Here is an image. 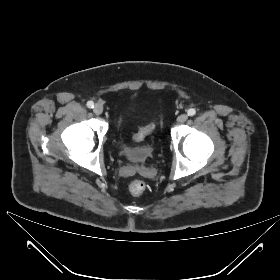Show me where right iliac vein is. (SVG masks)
<instances>
[{"label": "right iliac vein", "instance_id": "63e3f726", "mask_svg": "<svg viewBox=\"0 0 280 280\" xmlns=\"http://www.w3.org/2000/svg\"><path fill=\"white\" fill-rule=\"evenodd\" d=\"M93 111L96 115H101L103 112V107L100 104H96Z\"/></svg>", "mask_w": 280, "mask_h": 280}]
</instances>
